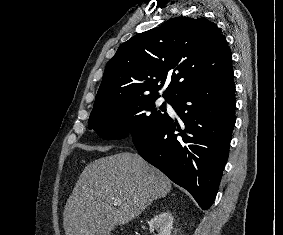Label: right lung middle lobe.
Here are the masks:
<instances>
[{
	"label": "right lung middle lobe",
	"mask_w": 283,
	"mask_h": 235,
	"mask_svg": "<svg viewBox=\"0 0 283 235\" xmlns=\"http://www.w3.org/2000/svg\"><path fill=\"white\" fill-rule=\"evenodd\" d=\"M158 96H144L95 105L89 117V129L107 140L132 138L149 132L162 123L168 114L166 103L157 108ZM168 102L171 98L165 97Z\"/></svg>",
	"instance_id": "right-lung-middle-lobe-1"
}]
</instances>
